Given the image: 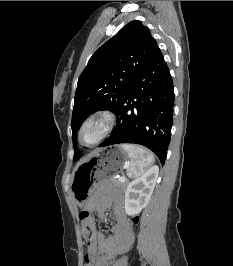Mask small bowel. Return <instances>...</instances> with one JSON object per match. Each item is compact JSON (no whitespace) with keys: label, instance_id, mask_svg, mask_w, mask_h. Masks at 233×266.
<instances>
[{"label":"small bowel","instance_id":"c3829d8e","mask_svg":"<svg viewBox=\"0 0 233 266\" xmlns=\"http://www.w3.org/2000/svg\"><path fill=\"white\" fill-rule=\"evenodd\" d=\"M110 207L115 223L109 235L97 229L92 217L87 224H82L83 243L86 249L85 266H110L114 256L133 241L132 228L125 215L123 197L120 194L107 187H100L88 201L86 211L102 219L106 209Z\"/></svg>","mask_w":233,"mask_h":266}]
</instances>
